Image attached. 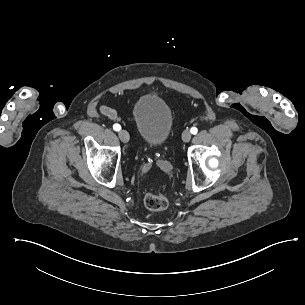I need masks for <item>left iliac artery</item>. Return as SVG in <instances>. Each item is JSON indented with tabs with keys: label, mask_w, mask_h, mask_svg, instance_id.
I'll list each match as a JSON object with an SVG mask.
<instances>
[{
	"label": "left iliac artery",
	"mask_w": 305,
	"mask_h": 305,
	"mask_svg": "<svg viewBox=\"0 0 305 305\" xmlns=\"http://www.w3.org/2000/svg\"><path fill=\"white\" fill-rule=\"evenodd\" d=\"M190 131H191V133L192 134H197V132H198V129L196 128V127H192L191 129H190Z\"/></svg>",
	"instance_id": "obj_1"
}]
</instances>
